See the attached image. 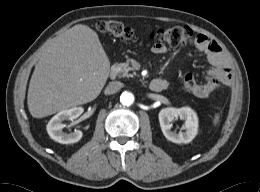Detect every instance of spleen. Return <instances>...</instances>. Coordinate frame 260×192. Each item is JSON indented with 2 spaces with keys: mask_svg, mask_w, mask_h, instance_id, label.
<instances>
[{
  "mask_svg": "<svg viewBox=\"0 0 260 192\" xmlns=\"http://www.w3.org/2000/svg\"><path fill=\"white\" fill-rule=\"evenodd\" d=\"M219 118H220L219 114H216L214 116V120H213L214 125H217L219 123Z\"/></svg>",
  "mask_w": 260,
  "mask_h": 192,
  "instance_id": "obj_1",
  "label": "spleen"
}]
</instances>
